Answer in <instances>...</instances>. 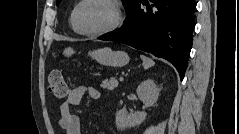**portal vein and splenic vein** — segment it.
<instances>
[{
  "instance_id": "obj_1",
  "label": "portal vein and splenic vein",
  "mask_w": 239,
  "mask_h": 134,
  "mask_svg": "<svg viewBox=\"0 0 239 134\" xmlns=\"http://www.w3.org/2000/svg\"><path fill=\"white\" fill-rule=\"evenodd\" d=\"M119 80H120V81H123V80H124V77H120Z\"/></svg>"
}]
</instances>
